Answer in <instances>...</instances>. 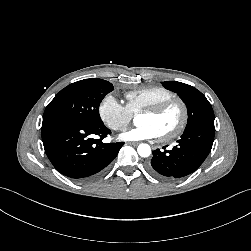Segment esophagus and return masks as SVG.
Instances as JSON below:
<instances>
[{"label": "esophagus", "mask_w": 251, "mask_h": 251, "mask_svg": "<svg viewBox=\"0 0 251 251\" xmlns=\"http://www.w3.org/2000/svg\"><path fill=\"white\" fill-rule=\"evenodd\" d=\"M126 144H128V145H133V146H137V145L139 144V142H131V141H129V142H127Z\"/></svg>", "instance_id": "34e87169"}]
</instances>
